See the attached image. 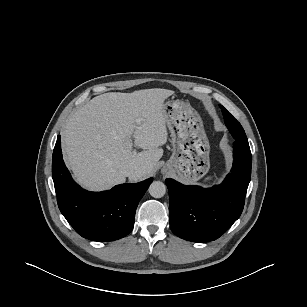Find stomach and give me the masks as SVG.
Masks as SVG:
<instances>
[{
	"label": "stomach",
	"mask_w": 307,
	"mask_h": 307,
	"mask_svg": "<svg viewBox=\"0 0 307 307\" xmlns=\"http://www.w3.org/2000/svg\"><path fill=\"white\" fill-rule=\"evenodd\" d=\"M163 111L170 131L173 153L163 167L184 183L204 177L210 168V145L200 115L189 103L168 100Z\"/></svg>",
	"instance_id": "stomach-1"
}]
</instances>
